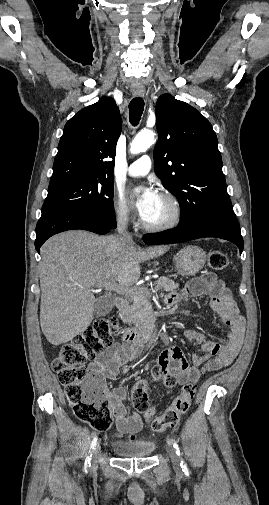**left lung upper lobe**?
Here are the masks:
<instances>
[{"instance_id": "5c2ea615", "label": "left lung upper lobe", "mask_w": 269, "mask_h": 505, "mask_svg": "<svg viewBox=\"0 0 269 505\" xmlns=\"http://www.w3.org/2000/svg\"><path fill=\"white\" fill-rule=\"evenodd\" d=\"M156 127L155 172L179 201L178 226L191 227L216 214L235 215L210 122L189 104L164 94L156 103Z\"/></svg>"}]
</instances>
